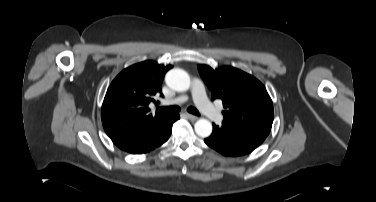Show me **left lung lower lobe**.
<instances>
[{
	"label": "left lung lower lobe",
	"mask_w": 376,
	"mask_h": 202,
	"mask_svg": "<svg viewBox=\"0 0 376 202\" xmlns=\"http://www.w3.org/2000/svg\"><path fill=\"white\" fill-rule=\"evenodd\" d=\"M265 139L258 133L222 122L220 126L213 124V132L204 142L223 155L241 156L252 152Z\"/></svg>",
	"instance_id": "0a47b994"
}]
</instances>
